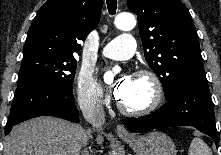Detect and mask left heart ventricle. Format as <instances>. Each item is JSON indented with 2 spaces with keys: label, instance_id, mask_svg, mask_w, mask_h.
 I'll use <instances>...</instances> for the list:
<instances>
[{
  "label": "left heart ventricle",
  "instance_id": "left-heart-ventricle-1",
  "mask_svg": "<svg viewBox=\"0 0 221 155\" xmlns=\"http://www.w3.org/2000/svg\"><path fill=\"white\" fill-rule=\"evenodd\" d=\"M153 97V87L145 77H133L130 88L120 101L130 109H140L147 106Z\"/></svg>",
  "mask_w": 221,
  "mask_h": 155
}]
</instances>
